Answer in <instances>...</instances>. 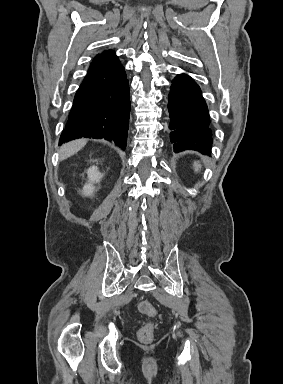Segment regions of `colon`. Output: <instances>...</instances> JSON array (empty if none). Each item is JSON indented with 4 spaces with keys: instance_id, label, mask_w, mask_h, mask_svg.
<instances>
[{
    "instance_id": "obj_1",
    "label": "colon",
    "mask_w": 283,
    "mask_h": 384,
    "mask_svg": "<svg viewBox=\"0 0 283 384\" xmlns=\"http://www.w3.org/2000/svg\"><path fill=\"white\" fill-rule=\"evenodd\" d=\"M138 309L141 313L145 314L150 318L157 316V310L155 306L148 300H141L138 304ZM154 333V323L148 322L143 325L138 331V338L140 341L148 343L152 340Z\"/></svg>"
}]
</instances>
